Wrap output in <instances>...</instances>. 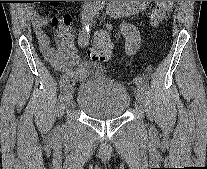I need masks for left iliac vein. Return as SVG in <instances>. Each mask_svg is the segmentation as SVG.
Returning a JSON list of instances; mask_svg holds the SVG:
<instances>
[{"mask_svg":"<svg viewBox=\"0 0 207 169\" xmlns=\"http://www.w3.org/2000/svg\"><path fill=\"white\" fill-rule=\"evenodd\" d=\"M135 97L138 103L141 104L143 102V99H144L143 89L139 86L135 88Z\"/></svg>","mask_w":207,"mask_h":169,"instance_id":"4c4485c4","label":"left iliac vein"}]
</instances>
